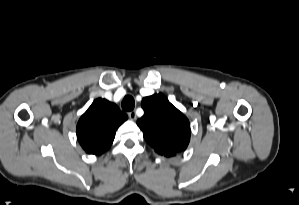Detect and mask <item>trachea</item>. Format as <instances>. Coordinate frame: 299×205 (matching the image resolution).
<instances>
[{
	"label": "trachea",
	"instance_id": "1",
	"mask_svg": "<svg viewBox=\"0 0 299 205\" xmlns=\"http://www.w3.org/2000/svg\"><path fill=\"white\" fill-rule=\"evenodd\" d=\"M134 106H135L134 98L130 95L125 96L122 101V109L124 111H131L134 109Z\"/></svg>",
	"mask_w": 299,
	"mask_h": 205
}]
</instances>
